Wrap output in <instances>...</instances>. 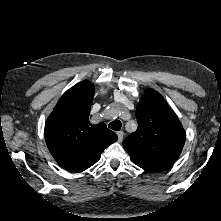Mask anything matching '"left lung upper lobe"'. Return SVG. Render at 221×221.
Returning a JSON list of instances; mask_svg holds the SVG:
<instances>
[{
	"label": "left lung upper lobe",
	"instance_id": "left-lung-upper-lobe-1",
	"mask_svg": "<svg viewBox=\"0 0 221 221\" xmlns=\"http://www.w3.org/2000/svg\"><path fill=\"white\" fill-rule=\"evenodd\" d=\"M138 128L123 146L132 161L147 172L169 167L180 155L185 131L176 114L157 91L148 89L136 108Z\"/></svg>",
	"mask_w": 221,
	"mask_h": 221
}]
</instances>
